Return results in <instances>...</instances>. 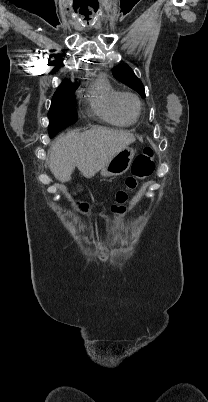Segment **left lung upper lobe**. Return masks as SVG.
<instances>
[{
	"label": "left lung upper lobe",
	"instance_id": "obj_1",
	"mask_svg": "<svg viewBox=\"0 0 208 402\" xmlns=\"http://www.w3.org/2000/svg\"><path fill=\"white\" fill-rule=\"evenodd\" d=\"M114 77L120 82L137 91L142 97H145V89L140 79L134 74L127 65H119L112 69Z\"/></svg>",
	"mask_w": 208,
	"mask_h": 402
}]
</instances>
